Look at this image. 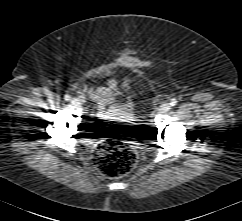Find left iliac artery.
<instances>
[{
    "instance_id": "44dca946",
    "label": "left iliac artery",
    "mask_w": 242,
    "mask_h": 221,
    "mask_svg": "<svg viewBox=\"0 0 242 221\" xmlns=\"http://www.w3.org/2000/svg\"><path fill=\"white\" fill-rule=\"evenodd\" d=\"M177 104V100L176 99H172L170 102L171 106H175Z\"/></svg>"
}]
</instances>
